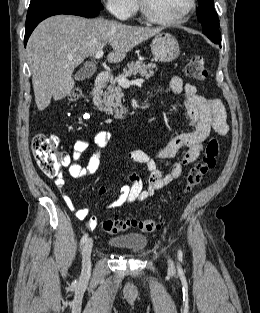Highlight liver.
Listing matches in <instances>:
<instances>
[{"instance_id": "liver-1", "label": "liver", "mask_w": 260, "mask_h": 313, "mask_svg": "<svg viewBox=\"0 0 260 313\" xmlns=\"http://www.w3.org/2000/svg\"><path fill=\"white\" fill-rule=\"evenodd\" d=\"M162 28L135 27L106 20L56 15L42 21L27 43L35 102L44 110L53 98H65L73 89L74 69L109 43V63L122 61L136 45Z\"/></svg>"}]
</instances>
